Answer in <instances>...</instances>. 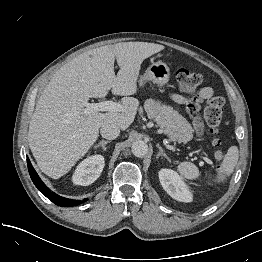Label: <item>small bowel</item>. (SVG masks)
Here are the masks:
<instances>
[{
    "mask_svg": "<svg viewBox=\"0 0 262 262\" xmlns=\"http://www.w3.org/2000/svg\"><path fill=\"white\" fill-rule=\"evenodd\" d=\"M214 91L211 87L205 86L202 87L193 97L185 98L180 95L174 94L172 98L178 103L184 104H200L204 100L210 98L213 95Z\"/></svg>",
    "mask_w": 262,
    "mask_h": 262,
    "instance_id": "1",
    "label": "small bowel"
}]
</instances>
